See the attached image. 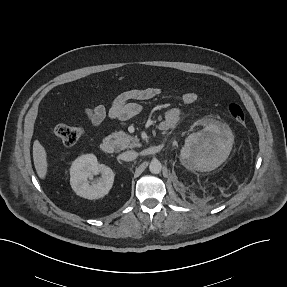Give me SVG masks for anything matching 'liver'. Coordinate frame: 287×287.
Wrapping results in <instances>:
<instances>
[{
  "instance_id": "liver-1",
  "label": "liver",
  "mask_w": 287,
  "mask_h": 287,
  "mask_svg": "<svg viewBox=\"0 0 287 287\" xmlns=\"http://www.w3.org/2000/svg\"><path fill=\"white\" fill-rule=\"evenodd\" d=\"M33 161L39 178L44 180L48 172L47 153L38 140L33 144Z\"/></svg>"
}]
</instances>
